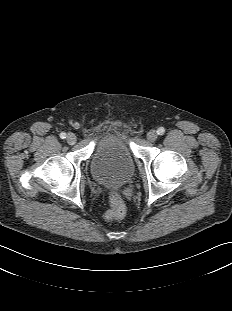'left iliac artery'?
Listing matches in <instances>:
<instances>
[{
	"instance_id": "left-iliac-artery-1",
	"label": "left iliac artery",
	"mask_w": 232,
	"mask_h": 311,
	"mask_svg": "<svg viewBox=\"0 0 232 311\" xmlns=\"http://www.w3.org/2000/svg\"><path fill=\"white\" fill-rule=\"evenodd\" d=\"M158 135H163L165 133V129L163 127L158 128L157 130Z\"/></svg>"
}]
</instances>
